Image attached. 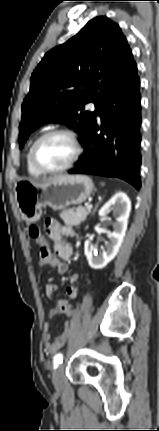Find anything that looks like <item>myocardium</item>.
I'll list each match as a JSON object with an SVG mask.
<instances>
[{"mask_svg":"<svg viewBox=\"0 0 159 431\" xmlns=\"http://www.w3.org/2000/svg\"><path fill=\"white\" fill-rule=\"evenodd\" d=\"M54 135H65V136H67L73 145L74 153H73L72 158L69 160V162L67 164H65L64 166L57 168V169H49V168L43 167L38 162L37 157H36V151H37L39 144L42 141H44L46 138L54 136ZM82 150L83 149H82L80 139H79L78 135L73 130L68 129V128H54V129H51V130L44 132L38 138L35 139V141L33 142L32 146H31L30 159H31V162L34 165V167L37 170H39L41 173H43V174H57V173L65 172V171L69 170L71 167H73L75 165V163L79 160V158L82 154Z\"/></svg>","mask_w":159,"mask_h":431,"instance_id":"f54148a6","label":"myocardium"}]
</instances>
